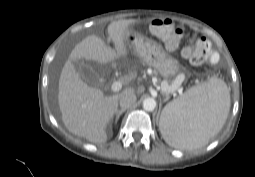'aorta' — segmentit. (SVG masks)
I'll use <instances>...</instances> for the list:
<instances>
[{
	"instance_id": "aorta-1",
	"label": "aorta",
	"mask_w": 255,
	"mask_h": 177,
	"mask_svg": "<svg viewBox=\"0 0 255 177\" xmlns=\"http://www.w3.org/2000/svg\"><path fill=\"white\" fill-rule=\"evenodd\" d=\"M156 107V101L153 98H146L143 101V108L146 111L152 112Z\"/></svg>"
}]
</instances>
